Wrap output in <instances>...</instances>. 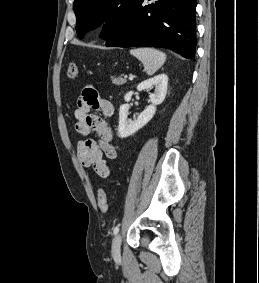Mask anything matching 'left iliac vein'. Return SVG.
Wrapping results in <instances>:
<instances>
[{
  "label": "left iliac vein",
  "instance_id": "obj_1",
  "mask_svg": "<svg viewBox=\"0 0 259 283\" xmlns=\"http://www.w3.org/2000/svg\"><path fill=\"white\" fill-rule=\"evenodd\" d=\"M121 234H117L112 242V255L119 256L120 255V246H121Z\"/></svg>",
  "mask_w": 259,
  "mask_h": 283
}]
</instances>
